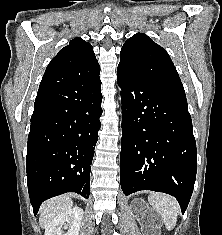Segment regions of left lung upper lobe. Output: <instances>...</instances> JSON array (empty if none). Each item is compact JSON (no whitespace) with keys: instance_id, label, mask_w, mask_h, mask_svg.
Listing matches in <instances>:
<instances>
[{"instance_id":"obj_1","label":"left lung upper lobe","mask_w":222,"mask_h":235,"mask_svg":"<svg viewBox=\"0 0 222 235\" xmlns=\"http://www.w3.org/2000/svg\"><path fill=\"white\" fill-rule=\"evenodd\" d=\"M120 63L131 73L169 87L183 95L185 91L168 53L143 33H137L123 45Z\"/></svg>"}]
</instances>
